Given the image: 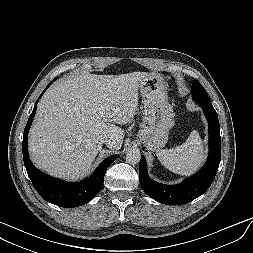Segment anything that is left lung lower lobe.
Wrapping results in <instances>:
<instances>
[{
  "instance_id": "obj_1",
  "label": "left lung lower lobe",
  "mask_w": 253,
  "mask_h": 253,
  "mask_svg": "<svg viewBox=\"0 0 253 253\" xmlns=\"http://www.w3.org/2000/svg\"><path fill=\"white\" fill-rule=\"evenodd\" d=\"M209 126V157L204 167L178 185H164L149 178L144 156L141 157L139 180L143 190L156 201L179 205L202 195L213 182L221 160V137L218 115L212 105H201Z\"/></svg>"
}]
</instances>
